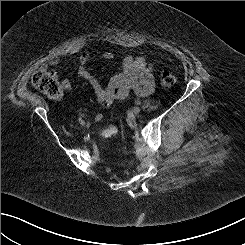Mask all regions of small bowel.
<instances>
[{"mask_svg":"<svg viewBox=\"0 0 245 245\" xmlns=\"http://www.w3.org/2000/svg\"><path fill=\"white\" fill-rule=\"evenodd\" d=\"M105 58H110V55H105ZM88 59V53L85 52L80 55L79 61L81 66L78 70V74L91 85L94 94L101 103L102 110L95 114L96 120L103 118L102 111L108 108L114 100L125 99L131 93L145 97L151 94L154 89L155 78L152 65L143 57H125L122 62L121 70L112 76L106 86L101 85L84 66ZM58 62L59 58L57 56L50 59V64L52 65H56ZM61 88L64 92L72 91V85L67 79L61 82Z\"/></svg>","mask_w":245,"mask_h":245,"instance_id":"1","label":"small bowel"}]
</instances>
